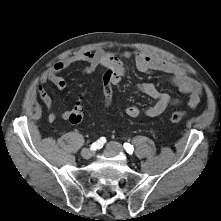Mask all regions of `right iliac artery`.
<instances>
[{
  "label": "right iliac artery",
  "instance_id": "82829eb1",
  "mask_svg": "<svg viewBox=\"0 0 221 221\" xmlns=\"http://www.w3.org/2000/svg\"><path fill=\"white\" fill-rule=\"evenodd\" d=\"M106 142L104 137H101L99 140H97L96 142H94L91 145V149L96 150V149H100L103 147L104 143Z\"/></svg>",
  "mask_w": 221,
  "mask_h": 221
}]
</instances>
